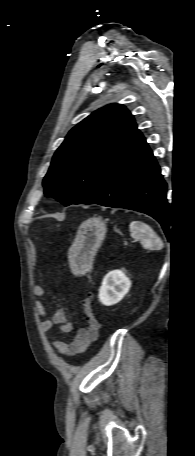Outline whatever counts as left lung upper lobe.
<instances>
[{
    "instance_id": "1",
    "label": "left lung upper lobe",
    "mask_w": 195,
    "mask_h": 456,
    "mask_svg": "<svg viewBox=\"0 0 195 456\" xmlns=\"http://www.w3.org/2000/svg\"><path fill=\"white\" fill-rule=\"evenodd\" d=\"M139 133L121 104L103 107L76 125L55 152L43 180L46 196L65 206L96 193Z\"/></svg>"
}]
</instances>
